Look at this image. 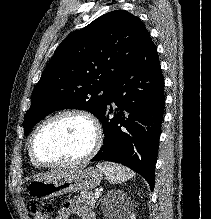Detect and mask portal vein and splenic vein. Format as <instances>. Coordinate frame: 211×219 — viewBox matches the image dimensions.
<instances>
[{"instance_id":"18ae733b","label":"portal vein and splenic vein","mask_w":211,"mask_h":219,"mask_svg":"<svg viewBox=\"0 0 211 219\" xmlns=\"http://www.w3.org/2000/svg\"><path fill=\"white\" fill-rule=\"evenodd\" d=\"M94 196H95V198H98L100 196V192L99 191H95Z\"/></svg>"}]
</instances>
